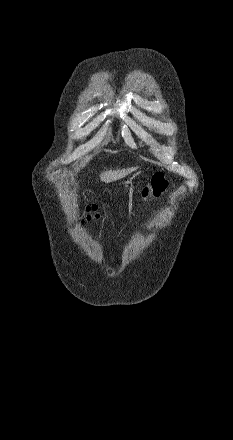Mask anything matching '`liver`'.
<instances>
[{"mask_svg": "<svg viewBox=\"0 0 233 440\" xmlns=\"http://www.w3.org/2000/svg\"><path fill=\"white\" fill-rule=\"evenodd\" d=\"M137 168L132 167L128 169H122V170H115V171H106L100 174L101 181L105 183L113 182L118 179H121L131 173L132 171L136 170Z\"/></svg>", "mask_w": 233, "mask_h": 440, "instance_id": "1", "label": "liver"}]
</instances>
